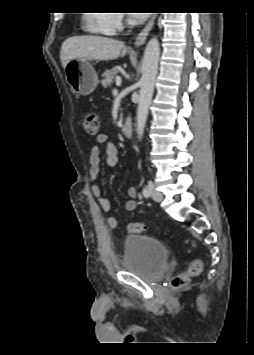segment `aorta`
Instances as JSON below:
<instances>
[{
  "mask_svg": "<svg viewBox=\"0 0 254 355\" xmlns=\"http://www.w3.org/2000/svg\"><path fill=\"white\" fill-rule=\"evenodd\" d=\"M160 44L152 38L146 45L142 62V78L137 109V134L141 139L148 117V109L154 92L155 79L158 71Z\"/></svg>",
  "mask_w": 254,
  "mask_h": 355,
  "instance_id": "aorta-1",
  "label": "aorta"
}]
</instances>
